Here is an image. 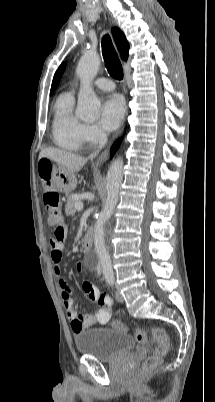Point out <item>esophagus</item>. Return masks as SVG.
<instances>
[{
	"instance_id": "esophagus-1",
	"label": "esophagus",
	"mask_w": 215,
	"mask_h": 402,
	"mask_svg": "<svg viewBox=\"0 0 215 402\" xmlns=\"http://www.w3.org/2000/svg\"><path fill=\"white\" fill-rule=\"evenodd\" d=\"M108 150H105L102 154H101V156L96 160V165H101L103 162H104V160L108 157Z\"/></svg>"
}]
</instances>
